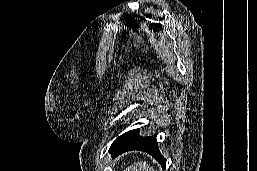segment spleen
<instances>
[{
    "label": "spleen",
    "mask_w": 257,
    "mask_h": 171,
    "mask_svg": "<svg viewBox=\"0 0 257 171\" xmlns=\"http://www.w3.org/2000/svg\"><path fill=\"white\" fill-rule=\"evenodd\" d=\"M124 171H155V170L153 166L146 164V162L138 161L126 167Z\"/></svg>",
    "instance_id": "spleen-1"
}]
</instances>
